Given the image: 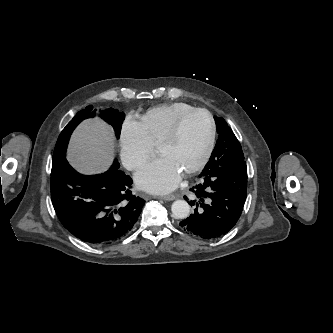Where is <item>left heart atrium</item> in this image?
I'll list each match as a JSON object with an SVG mask.
<instances>
[{"instance_id":"39dd6f15","label":"left heart atrium","mask_w":333,"mask_h":333,"mask_svg":"<svg viewBox=\"0 0 333 333\" xmlns=\"http://www.w3.org/2000/svg\"><path fill=\"white\" fill-rule=\"evenodd\" d=\"M182 177V172L167 157L144 165L135 175L137 185L155 194H165L174 190Z\"/></svg>"}]
</instances>
